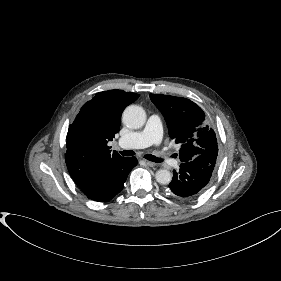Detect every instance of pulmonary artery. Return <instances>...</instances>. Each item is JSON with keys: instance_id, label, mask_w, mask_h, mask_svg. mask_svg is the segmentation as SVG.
<instances>
[{"instance_id": "obj_1", "label": "pulmonary artery", "mask_w": 281, "mask_h": 281, "mask_svg": "<svg viewBox=\"0 0 281 281\" xmlns=\"http://www.w3.org/2000/svg\"><path fill=\"white\" fill-rule=\"evenodd\" d=\"M162 122L157 114L149 116L145 127L141 131L121 136L118 145L123 148H143L159 143L162 139Z\"/></svg>"}]
</instances>
